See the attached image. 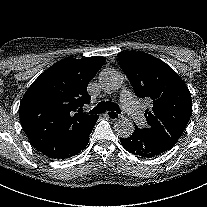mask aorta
<instances>
[{"mask_svg":"<svg viewBox=\"0 0 207 207\" xmlns=\"http://www.w3.org/2000/svg\"><path fill=\"white\" fill-rule=\"evenodd\" d=\"M99 82L105 91L112 92L121 88L123 84V75L115 69L106 68L100 72ZM134 129V124L126 117L119 118L114 123L115 133L120 138L130 137Z\"/></svg>","mask_w":207,"mask_h":207,"instance_id":"762f6f07","label":"aorta"}]
</instances>
